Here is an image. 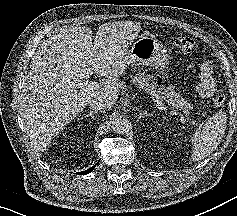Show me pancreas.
<instances>
[{"label":"pancreas","mask_w":237,"mask_h":216,"mask_svg":"<svg viewBox=\"0 0 237 216\" xmlns=\"http://www.w3.org/2000/svg\"><path fill=\"white\" fill-rule=\"evenodd\" d=\"M151 79V76L147 77L144 73H138L132 79V83L138 88H147V90H149L156 99H164L181 111H189L191 109V102L189 100L182 98L179 94L172 90H166L162 86L155 88L153 84H150Z\"/></svg>","instance_id":"pancreas-1"}]
</instances>
